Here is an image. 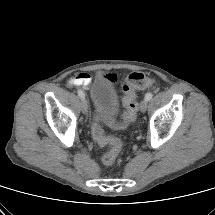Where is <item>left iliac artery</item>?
Returning a JSON list of instances; mask_svg holds the SVG:
<instances>
[{
	"label": "left iliac artery",
	"instance_id": "left-iliac-artery-1",
	"mask_svg": "<svg viewBox=\"0 0 215 215\" xmlns=\"http://www.w3.org/2000/svg\"><path fill=\"white\" fill-rule=\"evenodd\" d=\"M152 96H153V94H152L151 92H148V93L145 95V99H146L147 101H149V100L152 99Z\"/></svg>",
	"mask_w": 215,
	"mask_h": 215
}]
</instances>
